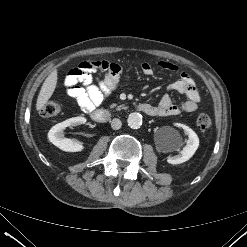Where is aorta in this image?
<instances>
[{"instance_id": "762f6f07", "label": "aorta", "mask_w": 247, "mask_h": 247, "mask_svg": "<svg viewBox=\"0 0 247 247\" xmlns=\"http://www.w3.org/2000/svg\"><path fill=\"white\" fill-rule=\"evenodd\" d=\"M128 126L132 129H138L142 125V115L137 112L130 113L127 118Z\"/></svg>"}]
</instances>
